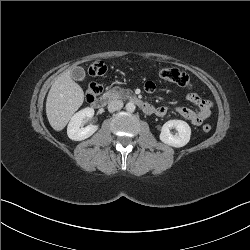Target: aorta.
<instances>
[{
    "label": "aorta",
    "instance_id": "1",
    "mask_svg": "<svg viewBox=\"0 0 250 250\" xmlns=\"http://www.w3.org/2000/svg\"><path fill=\"white\" fill-rule=\"evenodd\" d=\"M135 108H136V106H135V104H134L133 102H128V103L126 104V110H127L128 112H134V111H135Z\"/></svg>",
    "mask_w": 250,
    "mask_h": 250
}]
</instances>
